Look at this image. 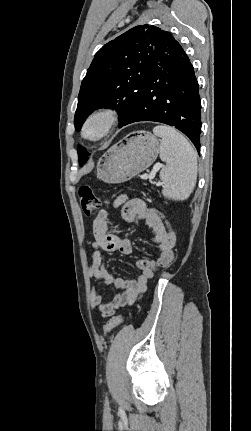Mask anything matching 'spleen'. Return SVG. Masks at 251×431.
<instances>
[{"label":"spleen","instance_id":"obj_1","mask_svg":"<svg viewBox=\"0 0 251 431\" xmlns=\"http://www.w3.org/2000/svg\"><path fill=\"white\" fill-rule=\"evenodd\" d=\"M153 132L161 137L160 158L166 163L160 171L162 193L172 200H185L196 184V151L187 139L172 127L158 125Z\"/></svg>","mask_w":251,"mask_h":431}]
</instances>
